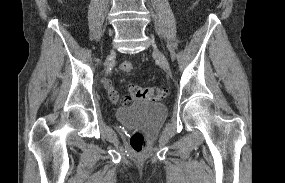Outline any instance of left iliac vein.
Segmentation results:
<instances>
[{"mask_svg": "<svg viewBox=\"0 0 285 183\" xmlns=\"http://www.w3.org/2000/svg\"><path fill=\"white\" fill-rule=\"evenodd\" d=\"M150 43L152 44L153 48H154V53L157 56L160 64L167 70H169V64L168 61L166 59V57L163 55V53L157 48L154 40L152 38H149Z\"/></svg>", "mask_w": 285, "mask_h": 183, "instance_id": "left-iliac-vein-1", "label": "left iliac vein"}]
</instances>
